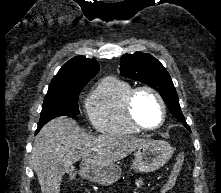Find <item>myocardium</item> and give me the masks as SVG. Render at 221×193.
Returning a JSON list of instances; mask_svg holds the SVG:
<instances>
[{"mask_svg":"<svg viewBox=\"0 0 221 193\" xmlns=\"http://www.w3.org/2000/svg\"><path fill=\"white\" fill-rule=\"evenodd\" d=\"M141 92H148V93L152 94L160 104L161 120L154 127H147V126L141 124L134 116V102H135V99L138 96V94ZM125 110H126V114H127L129 121L139 130L147 131V132H152V131H156V130L160 129L164 125V123L166 121V117H167V106H166L165 100L163 99L162 95L156 89H154L153 87L148 86V85H141V86L133 88L130 91V93L128 94L126 101H125Z\"/></svg>","mask_w":221,"mask_h":193,"instance_id":"1","label":"myocardium"}]
</instances>
